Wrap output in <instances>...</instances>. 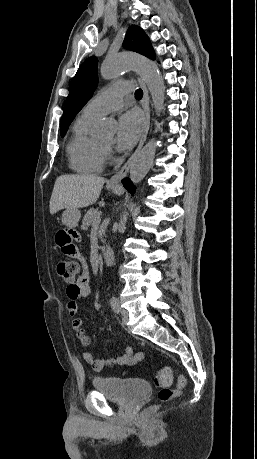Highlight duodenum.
I'll use <instances>...</instances> for the list:
<instances>
[{
	"mask_svg": "<svg viewBox=\"0 0 257 459\" xmlns=\"http://www.w3.org/2000/svg\"><path fill=\"white\" fill-rule=\"evenodd\" d=\"M115 255L112 249L108 248L102 252V261L105 265L110 266L114 263Z\"/></svg>",
	"mask_w": 257,
	"mask_h": 459,
	"instance_id": "obj_1",
	"label": "duodenum"
}]
</instances>
